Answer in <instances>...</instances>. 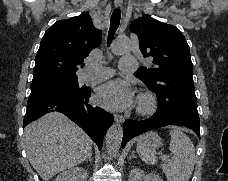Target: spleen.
<instances>
[{
	"mask_svg": "<svg viewBox=\"0 0 228 181\" xmlns=\"http://www.w3.org/2000/svg\"><path fill=\"white\" fill-rule=\"evenodd\" d=\"M170 129L169 149L172 157L168 159V163L161 165V169L165 173L167 181H189L195 165L194 145L181 129L178 127H170ZM137 151L142 161L148 165H157L156 151L148 149L141 141L137 143Z\"/></svg>",
	"mask_w": 228,
	"mask_h": 181,
	"instance_id": "obj_1",
	"label": "spleen"
}]
</instances>
